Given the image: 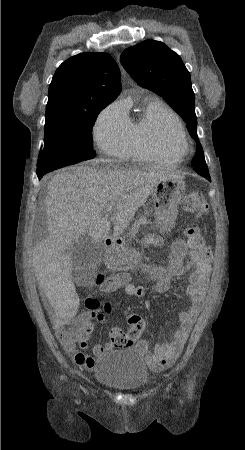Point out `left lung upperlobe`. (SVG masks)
I'll list each match as a JSON object with an SVG mask.
<instances>
[{
    "label": "left lung upper lobe",
    "instance_id": "5c2ea615",
    "mask_svg": "<svg viewBox=\"0 0 245 450\" xmlns=\"http://www.w3.org/2000/svg\"><path fill=\"white\" fill-rule=\"evenodd\" d=\"M120 61L140 86L163 96L183 118L197 142L192 166L198 174L209 173L203 152L198 153L202 148L197 136L195 96L190 73L180 56L162 42L146 40L125 49Z\"/></svg>",
    "mask_w": 245,
    "mask_h": 450
}]
</instances>
